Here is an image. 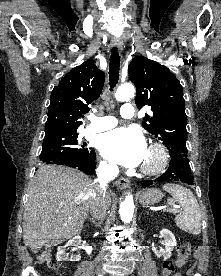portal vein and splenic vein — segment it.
<instances>
[{"instance_id": "18ae733b", "label": "portal vein and splenic vein", "mask_w": 221, "mask_h": 276, "mask_svg": "<svg viewBox=\"0 0 221 276\" xmlns=\"http://www.w3.org/2000/svg\"><path fill=\"white\" fill-rule=\"evenodd\" d=\"M164 211H169V212H172V213H178L179 212V210L176 207H171V208H168V209H164Z\"/></svg>"}]
</instances>
